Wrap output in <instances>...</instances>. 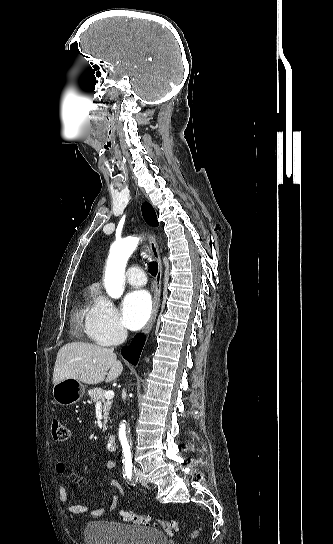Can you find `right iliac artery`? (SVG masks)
Segmentation results:
<instances>
[{
	"mask_svg": "<svg viewBox=\"0 0 333 544\" xmlns=\"http://www.w3.org/2000/svg\"><path fill=\"white\" fill-rule=\"evenodd\" d=\"M132 472H133V465L132 464H125V473L127 476V479L131 481L132 479Z\"/></svg>",
	"mask_w": 333,
	"mask_h": 544,
	"instance_id": "82829eb1",
	"label": "right iliac artery"
}]
</instances>
